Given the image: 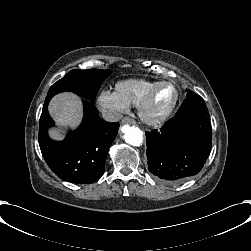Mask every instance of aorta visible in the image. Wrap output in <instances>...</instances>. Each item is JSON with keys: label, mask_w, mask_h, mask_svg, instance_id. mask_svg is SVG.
<instances>
[{"label": "aorta", "mask_w": 251, "mask_h": 251, "mask_svg": "<svg viewBox=\"0 0 251 251\" xmlns=\"http://www.w3.org/2000/svg\"><path fill=\"white\" fill-rule=\"evenodd\" d=\"M121 134L124 141L128 144L139 146L142 143L141 130L136 126L123 125L121 127Z\"/></svg>", "instance_id": "762f6f07"}]
</instances>
